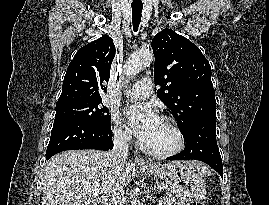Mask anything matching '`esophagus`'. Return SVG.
Masks as SVG:
<instances>
[{"label": "esophagus", "mask_w": 269, "mask_h": 205, "mask_svg": "<svg viewBox=\"0 0 269 205\" xmlns=\"http://www.w3.org/2000/svg\"><path fill=\"white\" fill-rule=\"evenodd\" d=\"M134 164L135 165H146L147 163L144 161L143 158L137 156L134 159Z\"/></svg>", "instance_id": "esophagus-1"}]
</instances>
